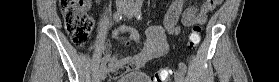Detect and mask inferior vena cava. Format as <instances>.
I'll return each mask as SVG.
<instances>
[{"instance_id":"inferior-vena-cava-1","label":"inferior vena cava","mask_w":279,"mask_h":82,"mask_svg":"<svg viewBox=\"0 0 279 82\" xmlns=\"http://www.w3.org/2000/svg\"><path fill=\"white\" fill-rule=\"evenodd\" d=\"M125 6L127 7L128 11L132 10V6H133V1L132 0H123Z\"/></svg>"}]
</instances>
